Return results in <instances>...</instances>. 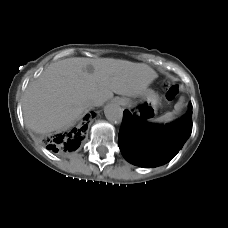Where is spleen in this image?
Masks as SVG:
<instances>
[{
	"instance_id": "3e777b00",
	"label": "spleen",
	"mask_w": 228,
	"mask_h": 228,
	"mask_svg": "<svg viewBox=\"0 0 228 228\" xmlns=\"http://www.w3.org/2000/svg\"><path fill=\"white\" fill-rule=\"evenodd\" d=\"M182 108V102L179 101L178 103L175 104L174 110L172 112H167L164 115L158 117L156 119L157 122H169L174 119V115L178 113Z\"/></svg>"
}]
</instances>
